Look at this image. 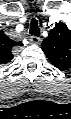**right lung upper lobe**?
<instances>
[{
	"label": "right lung upper lobe",
	"mask_w": 71,
	"mask_h": 119,
	"mask_svg": "<svg viewBox=\"0 0 71 119\" xmlns=\"http://www.w3.org/2000/svg\"><path fill=\"white\" fill-rule=\"evenodd\" d=\"M22 44L21 42H15L7 37L3 31L0 33V64L8 63L12 60L13 54L11 52L12 47Z\"/></svg>",
	"instance_id": "right-lung-upper-lobe-1"
}]
</instances>
